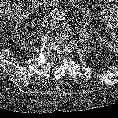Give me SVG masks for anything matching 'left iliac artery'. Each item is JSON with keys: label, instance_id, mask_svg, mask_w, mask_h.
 <instances>
[{"label": "left iliac artery", "instance_id": "obj_1", "mask_svg": "<svg viewBox=\"0 0 118 118\" xmlns=\"http://www.w3.org/2000/svg\"><path fill=\"white\" fill-rule=\"evenodd\" d=\"M66 19V14L61 12L58 16V20H65Z\"/></svg>", "mask_w": 118, "mask_h": 118}]
</instances>
